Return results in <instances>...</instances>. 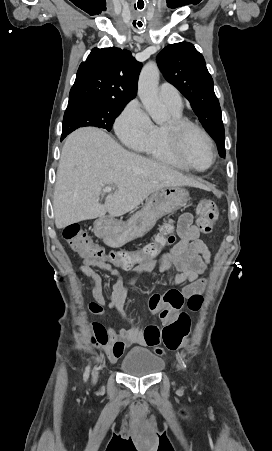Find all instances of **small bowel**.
Listing matches in <instances>:
<instances>
[{"label":"small bowel","mask_w":272,"mask_h":451,"mask_svg":"<svg viewBox=\"0 0 272 451\" xmlns=\"http://www.w3.org/2000/svg\"><path fill=\"white\" fill-rule=\"evenodd\" d=\"M164 234L168 235V238L159 236L157 243H167L168 250L159 258L140 264L128 278H124L106 260L92 258L89 270H84L82 265H79V270L92 281L94 301L88 304V310L93 314L102 315L107 307L114 309L129 325L128 329L114 327L108 329L111 343L105 348V353L110 362H116L128 345L147 344L145 329L142 330L122 311L132 286L142 272L157 268L165 272L170 281L175 284L190 281V284L182 291L169 290L163 295L153 294L150 297V310L159 312L160 317L166 322L178 314L177 312L184 305V298L197 295L205 289L204 275L211 261V254L207 245L200 239V230L193 224L192 214L188 212L182 214L176 226L166 227ZM176 237L179 238L177 242ZM94 267L108 272L115 280L109 302L105 297L102 276Z\"/></svg>","instance_id":"obj_1"}]
</instances>
